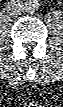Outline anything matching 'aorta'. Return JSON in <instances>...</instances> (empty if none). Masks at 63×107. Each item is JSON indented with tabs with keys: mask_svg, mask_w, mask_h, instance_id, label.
Listing matches in <instances>:
<instances>
[{
	"mask_svg": "<svg viewBox=\"0 0 63 107\" xmlns=\"http://www.w3.org/2000/svg\"><path fill=\"white\" fill-rule=\"evenodd\" d=\"M26 12L34 13L39 8V3L37 0H27L24 4Z\"/></svg>",
	"mask_w": 63,
	"mask_h": 107,
	"instance_id": "obj_1",
	"label": "aorta"
}]
</instances>
